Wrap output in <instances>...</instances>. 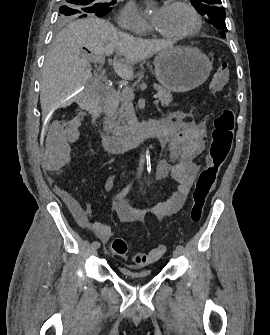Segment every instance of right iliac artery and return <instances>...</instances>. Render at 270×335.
<instances>
[{
  "label": "right iliac artery",
  "mask_w": 270,
  "mask_h": 335,
  "mask_svg": "<svg viewBox=\"0 0 270 335\" xmlns=\"http://www.w3.org/2000/svg\"><path fill=\"white\" fill-rule=\"evenodd\" d=\"M130 187H131V185L129 184L126 188H124V189L122 190V192H120V193L116 196V199H119V198L124 197V196L128 193ZM91 246L96 247V248H99V247H100V243H99L98 241H94V242L91 244Z\"/></svg>",
  "instance_id": "obj_1"
}]
</instances>
